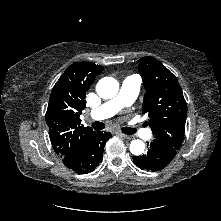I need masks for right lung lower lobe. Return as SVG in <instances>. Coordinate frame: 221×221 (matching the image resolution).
Wrapping results in <instances>:
<instances>
[{"label":"right lung lower lobe","instance_id":"right-lung-lower-lobe-1","mask_svg":"<svg viewBox=\"0 0 221 221\" xmlns=\"http://www.w3.org/2000/svg\"><path fill=\"white\" fill-rule=\"evenodd\" d=\"M110 137V132H94L81 153L63 158L64 165L78 174L93 171L102 161L103 150Z\"/></svg>","mask_w":221,"mask_h":221}]
</instances>
